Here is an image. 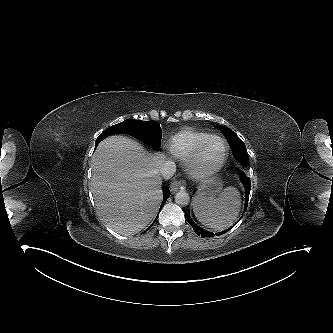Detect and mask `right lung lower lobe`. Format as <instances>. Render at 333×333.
<instances>
[{"label":"right lung lower lobe","mask_w":333,"mask_h":333,"mask_svg":"<svg viewBox=\"0 0 333 333\" xmlns=\"http://www.w3.org/2000/svg\"><path fill=\"white\" fill-rule=\"evenodd\" d=\"M112 135L111 133H108L106 131H104L96 140V143H95V149L96 147L98 146V144L100 143V141H102L104 138H106L107 136H110ZM163 193H164V198H163V202H162V205L160 207V211H161V208L163 206V204L165 203V201L168 199V197L170 196V191L169 189H165L163 190ZM159 211V213H160ZM159 213H158V216H159ZM158 216L156 217L155 221L157 220ZM155 221L153 222V224L155 223ZM152 226V225H151Z\"/></svg>","instance_id":"obj_1"}]
</instances>
